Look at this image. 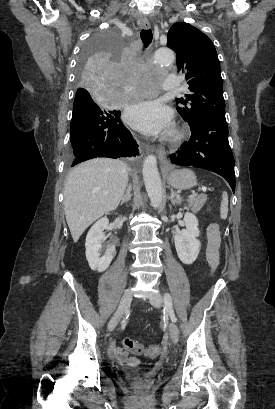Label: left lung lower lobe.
Listing matches in <instances>:
<instances>
[{
  "label": "left lung lower lobe",
  "mask_w": 275,
  "mask_h": 409,
  "mask_svg": "<svg viewBox=\"0 0 275 409\" xmlns=\"http://www.w3.org/2000/svg\"><path fill=\"white\" fill-rule=\"evenodd\" d=\"M189 125L190 140L170 155L171 163L213 171L224 177L234 192V157L228 142L226 120L207 117Z\"/></svg>",
  "instance_id": "0a47b994"
}]
</instances>
